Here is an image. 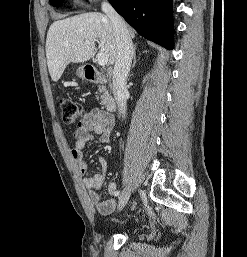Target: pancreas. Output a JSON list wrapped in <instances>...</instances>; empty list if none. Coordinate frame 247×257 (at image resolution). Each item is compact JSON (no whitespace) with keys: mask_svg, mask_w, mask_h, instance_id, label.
<instances>
[{"mask_svg":"<svg viewBox=\"0 0 247 257\" xmlns=\"http://www.w3.org/2000/svg\"><path fill=\"white\" fill-rule=\"evenodd\" d=\"M105 90H106L105 87H99V92H100V93H104ZM101 104H102V105L106 104L105 95L102 96Z\"/></svg>","mask_w":247,"mask_h":257,"instance_id":"pancreas-1","label":"pancreas"}]
</instances>
